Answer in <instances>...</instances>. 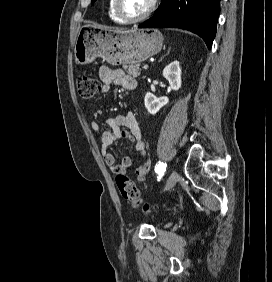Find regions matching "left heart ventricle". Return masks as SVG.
<instances>
[{
  "label": "left heart ventricle",
  "mask_w": 272,
  "mask_h": 282,
  "mask_svg": "<svg viewBox=\"0 0 272 282\" xmlns=\"http://www.w3.org/2000/svg\"><path fill=\"white\" fill-rule=\"evenodd\" d=\"M152 0H121L123 11L135 17L144 14L150 7Z\"/></svg>",
  "instance_id": "obj_1"
}]
</instances>
